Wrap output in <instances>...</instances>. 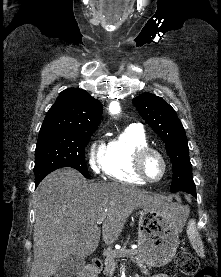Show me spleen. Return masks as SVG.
I'll list each match as a JSON object with an SVG mask.
<instances>
[{"label": "spleen", "mask_w": 221, "mask_h": 277, "mask_svg": "<svg viewBox=\"0 0 221 277\" xmlns=\"http://www.w3.org/2000/svg\"><path fill=\"white\" fill-rule=\"evenodd\" d=\"M187 235H188V238L190 240V243H191L193 249L196 251L198 256L204 258L205 257L204 245L200 238L198 230L196 228L195 220L189 221L188 226H187Z\"/></svg>", "instance_id": "spleen-1"}]
</instances>
